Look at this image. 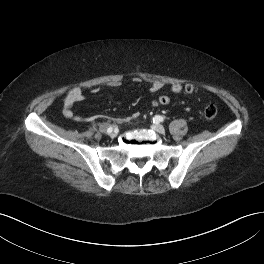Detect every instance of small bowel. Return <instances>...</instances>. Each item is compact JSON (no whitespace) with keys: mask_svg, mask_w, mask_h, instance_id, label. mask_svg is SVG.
Returning a JSON list of instances; mask_svg holds the SVG:
<instances>
[{"mask_svg":"<svg viewBox=\"0 0 264 264\" xmlns=\"http://www.w3.org/2000/svg\"><path fill=\"white\" fill-rule=\"evenodd\" d=\"M134 82L138 83L141 81L140 78H134L133 79ZM121 85V81L120 80H112L108 83V86L109 87H112V88H117ZM164 84L163 82L161 81H153L150 83L149 85V91L151 93H156V92H159L162 88H163ZM99 88L98 87H95V88H92L91 91L93 93L95 92H98ZM171 91L173 93H179L182 91V86L180 84H172L171 85ZM84 94H83V89L80 88V87H75V88H72L70 89L66 96H65V99H64V104H63V110H62V113L64 115V117L66 118H69V119H73L74 121H77V122H82V121H90L91 118H86V119H83L79 116H75L74 115V106L77 104V103H80L82 101H84ZM152 106H158V101H153L152 102ZM138 113L135 114V116H137Z\"/></svg>","mask_w":264,"mask_h":264,"instance_id":"c3829d8e","label":"small bowel"}]
</instances>
